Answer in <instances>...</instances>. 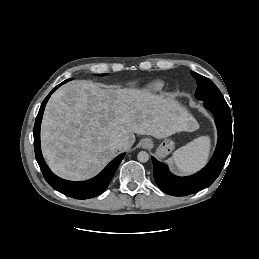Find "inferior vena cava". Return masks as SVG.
I'll return each instance as SVG.
<instances>
[{
  "mask_svg": "<svg viewBox=\"0 0 259 259\" xmlns=\"http://www.w3.org/2000/svg\"><path fill=\"white\" fill-rule=\"evenodd\" d=\"M113 144L117 147V148H122L125 146V142L122 138L116 137L113 139Z\"/></svg>",
  "mask_w": 259,
  "mask_h": 259,
  "instance_id": "inferior-vena-cava-1",
  "label": "inferior vena cava"
}]
</instances>
